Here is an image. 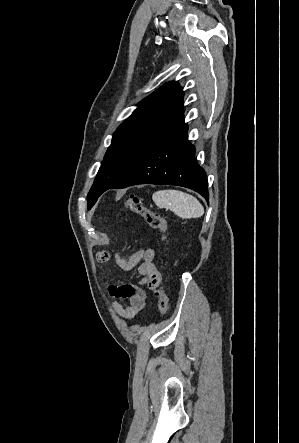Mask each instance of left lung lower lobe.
Segmentation results:
<instances>
[{"instance_id": "1", "label": "left lung lower lobe", "mask_w": 299, "mask_h": 443, "mask_svg": "<svg viewBox=\"0 0 299 443\" xmlns=\"http://www.w3.org/2000/svg\"><path fill=\"white\" fill-rule=\"evenodd\" d=\"M187 131L188 125L181 123L108 189L145 183L177 185L190 188L207 200V177L197 164L195 147L188 141Z\"/></svg>"}]
</instances>
